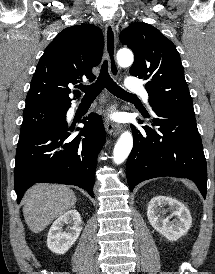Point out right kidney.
<instances>
[{
	"label": "right kidney",
	"instance_id": "right-kidney-1",
	"mask_svg": "<svg viewBox=\"0 0 215 274\" xmlns=\"http://www.w3.org/2000/svg\"><path fill=\"white\" fill-rule=\"evenodd\" d=\"M68 225L64 230L63 227ZM82 230V219L75 209L67 211L52 224L47 238L48 248L57 254H64L78 239Z\"/></svg>",
	"mask_w": 215,
	"mask_h": 274
}]
</instances>
